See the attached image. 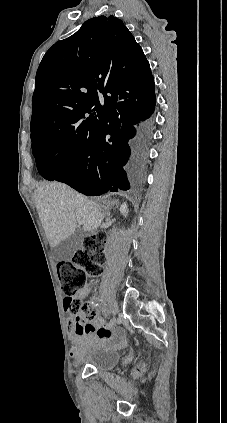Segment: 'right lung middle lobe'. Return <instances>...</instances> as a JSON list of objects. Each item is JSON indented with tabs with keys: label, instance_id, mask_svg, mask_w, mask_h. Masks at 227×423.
Masks as SVG:
<instances>
[{
	"label": "right lung middle lobe",
	"instance_id": "right-lung-middle-lobe-1",
	"mask_svg": "<svg viewBox=\"0 0 227 423\" xmlns=\"http://www.w3.org/2000/svg\"><path fill=\"white\" fill-rule=\"evenodd\" d=\"M95 137L75 140L49 136L32 143V152L40 175L46 180L69 176L77 163L94 147Z\"/></svg>",
	"mask_w": 227,
	"mask_h": 423
}]
</instances>
